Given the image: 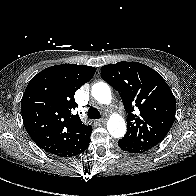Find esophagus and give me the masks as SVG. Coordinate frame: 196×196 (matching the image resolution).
Returning <instances> with one entry per match:
<instances>
[{"instance_id": "1", "label": "esophagus", "mask_w": 196, "mask_h": 196, "mask_svg": "<svg viewBox=\"0 0 196 196\" xmlns=\"http://www.w3.org/2000/svg\"><path fill=\"white\" fill-rule=\"evenodd\" d=\"M106 122H107V119H105V118H104V119L99 120V123H100V124H105Z\"/></svg>"}]
</instances>
